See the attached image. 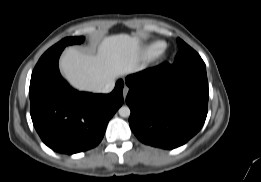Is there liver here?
Returning a JSON list of instances; mask_svg holds the SVG:
<instances>
[{"instance_id":"1","label":"liver","mask_w":261,"mask_h":182,"mask_svg":"<svg viewBox=\"0 0 261 182\" xmlns=\"http://www.w3.org/2000/svg\"><path fill=\"white\" fill-rule=\"evenodd\" d=\"M142 52L138 37L117 34L105 37L96 55L68 48L60 60V68L69 83L84 91L98 92L117 77L142 68Z\"/></svg>"}]
</instances>
